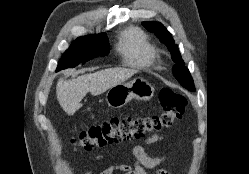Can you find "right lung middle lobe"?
I'll list each match as a JSON object with an SVG mask.
<instances>
[{
	"label": "right lung middle lobe",
	"mask_w": 249,
	"mask_h": 174,
	"mask_svg": "<svg viewBox=\"0 0 249 174\" xmlns=\"http://www.w3.org/2000/svg\"><path fill=\"white\" fill-rule=\"evenodd\" d=\"M108 46L109 41L104 33L79 37L62 55L56 71L73 68L97 56H105L109 53Z\"/></svg>",
	"instance_id": "obj_1"
}]
</instances>
